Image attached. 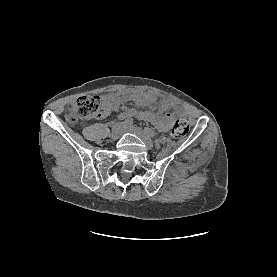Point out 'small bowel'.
Wrapping results in <instances>:
<instances>
[{
	"label": "small bowel",
	"instance_id": "obj_1",
	"mask_svg": "<svg viewBox=\"0 0 277 277\" xmlns=\"http://www.w3.org/2000/svg\"><path fill=\"white\" fill-rule=\"evenodd\" d=\"M102 112L100 117L108 116L115 111L121 102L132 101L138 105L151 106L153 110L138 111L135 108L126 109L119 116L123 118L137 117L141 120L153 123L160 131H168L174 120L175 114L165 113L173 107V103L167 98H159L153 92H141L137 90L125 91L122 94L108 93L102 96Z\"/></svg>",
	"mask_w": 277,
	"mask_h": 277
}]
</instances>
